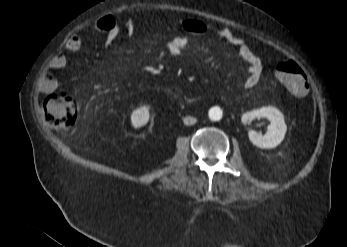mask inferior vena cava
<instances>
[{"mask_svg":"<svg viewBox=\"0 0 347 247\" xmlns=\"http://www.w3.org/2000/svg\"><path fill=\"white\" fill-rule=\"evenodd\" d=\"M185 125H193L197 122V119L191 116H187L183 120Z\"/></svg>","mask_w":347,"mask_h":247,"instance_id":"1","label":"inferior vena cava"}]
</instances>
